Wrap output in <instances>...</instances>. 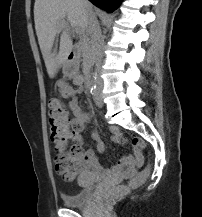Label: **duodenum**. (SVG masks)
<instances>
[{"label": "duodenum", "instance_id": "obj_1", "mask_svg": "<svg viewBox=\"0 0 202 217\" xmlns=\"http://www.w3.org/2000/svg\"><path fill=\"white\" fill-rule=\"evenodd\" d=\"M78 58H79V55H78L76 46H72L67 53L68 64H67L66 70H67L68 74H74L75 73V70L78 67ZM85 83L87 86H90L91 79L89 77H87V79L85 80Z\"/></svg>", "mask_w": 202, "mask_h": 217}]
</instances>
